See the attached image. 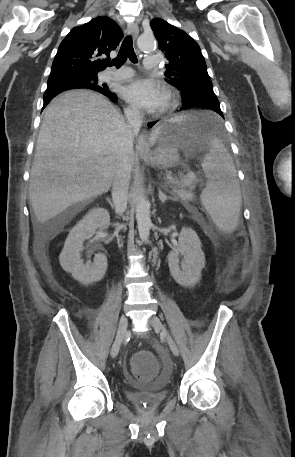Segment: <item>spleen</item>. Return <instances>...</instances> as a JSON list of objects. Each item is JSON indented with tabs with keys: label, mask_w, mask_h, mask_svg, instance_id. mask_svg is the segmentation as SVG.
<instances>
[{
	"label": "spleen",
	"mask_w": 295,
	"mask_h": 457,
	"mask_svg": "<svg viewBox=\"0 0 295 457\" xmlns=\"http://www.w3.org/2000/svg\"><path fill=\"white\" fill-rule=\"evenodd\" d=\"M177 116L170 121H178ZM211 148L204 156L202 169L207 178L200 199L217 228L231 233L238 225L241 191L231 155L218 139L210 141Z\"/></svg>",
	"instance_id": "3e777b00"
}]
</instances>
